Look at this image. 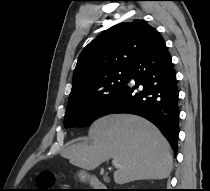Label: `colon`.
Here are the masks:
<instances>
[{
  "label": "colon",
  "instance_id": "colon-1",
  "mask_svg": "<svg viewBox=\"0 0 210 191\" xmlns=\"http://www.w3.org/2000/svg\"><path fill=\"white\" fill-rule=\"evenodd\" d=\"M55 181L56 177L54 174H43L37 179V189L34 191H63L52 189V185L55 183Z\"/></svg>",
  "mask_w": 210,
  "mask_h": 191
}]
</instances>
